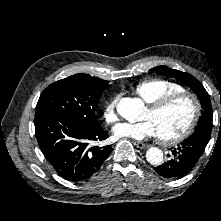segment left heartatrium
<instances>
[{
	"label": "left heart atrium",
	"instance_id": "obj_1",
	"mask_svg": "<svg viewBox=\"0 0 221 221\" xmlns=\"http://www.w3.org/2000/svg\"><path fill=\"white\" fill-rule=\"evenodd\" d=\"M113 133L116 137L131 138L134 140H143L148 137L158 136L154 123L149 119H144L136 123H118L114 126Z\"/></svg>",
	"mask_w": 221,
	"mask_h": 221
}]
</instances>
